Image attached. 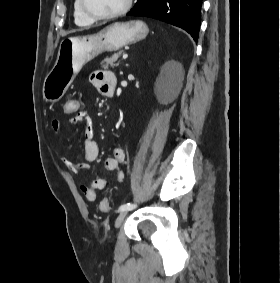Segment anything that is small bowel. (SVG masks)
Masks as SVG:
<instances>
[{
  "instance_id": "small-bowel-1",
  "label": "small bowel",
  "mask_w": 280,
  "mask_h": 283,
  "mask_svg": "<svg viewBox=\"0 0 280 283\" xmlns=\"http://www.w3.org/2000/svg\"><path fill=\"white\" fill-rule=\"evenodd\" d=\"M92 83L98 88L100 93L108 95L110 88L115 85V78L112 72L108 70L97 71L92 76ZM64 107V106H63ZM89 113L87 110L81 112H73L71 121L74 123L85 124L83 131V147H84V162H76L70 158L63 157L64 166L74 174L82 170L89 169V163L93 162L98 157L99 148L93 139L92 128L87 124ZM62 122L59 119L51 121V127L54 131L61 129ZM125 160L124 151L120 147L113 149V152L104 161L105 169L112 172L110 177L97 178L90 185L82 184L80 189L88 201H94L97 197V192L105 189L108 185L114 182H121L124 179V173L120 168V164Z\"/></svg>"
}]
</instances>
